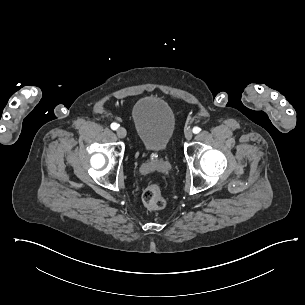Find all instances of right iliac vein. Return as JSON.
<instances>
[{"instance_id": "63e3f726", "label": "right iliac vein", "mask_w": 305, "mask_h": 305, "mask_svg": "<svg viewBox=\"0 0 305 305\" xmlns=\"http://www.w3.org/2000/svg\"><path fill=\"white\" fill-rule=\"evenodd\" d=\"M117 135H118V137H120V138H125L126 135H127V132H126L125 128L119 127V128L117 129Z\"/></svg>"}]
</instances>
